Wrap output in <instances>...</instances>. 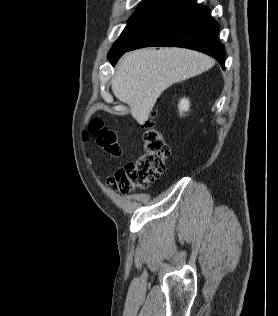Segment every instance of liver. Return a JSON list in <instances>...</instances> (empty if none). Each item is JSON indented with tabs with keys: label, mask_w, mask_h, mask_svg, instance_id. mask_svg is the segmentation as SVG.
Segmentation results:
<instances>
[{
	"label": "liver",
	"mask_w": 278,
	"mask_h": 316,
	"mask_svg": "<svg viewBox=\"0 0 278 316\" xmlns=\"http://www.w3.org/2000/svg\"><path fill=\"white\" fill-rule=\"evenodd\" d=\"M214 63L209 56L188 49L136 50L121 59L111 81L112 91L143 124L165 89L209 70Z\"/></svg>",
	"instance_id": "liver-1"
}]
</instances>
